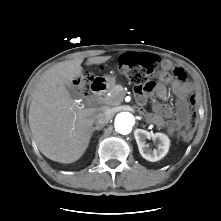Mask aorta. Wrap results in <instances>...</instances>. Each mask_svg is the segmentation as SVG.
Wrapping results in <instances>:
<instances>
[{
    "label": "aorta",
    "mask_w": 221,
    "mask_h": 221,
    "mask_svg": "<svg viewBox=\"0 0 221 221\" xmlns=\"http://www.w3.org/2000/svg\"><path fill=\"white\" fill-rule=\"evenodd\" d=\"M135 123V117L130 112H120L115 117V130L121 134L130 133Z\"/></svg>",
    "instance_id": "1"
}]
</instances>
